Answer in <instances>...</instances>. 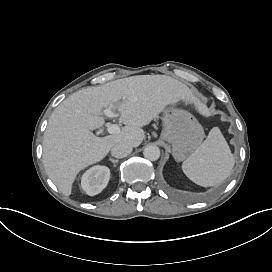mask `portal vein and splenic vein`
<instances>
[{
    "label": "portal vein and splenic vein",
    "mask_w": 272,
    "mask_h": 272,
    "mask_svg": "<svg viewBox=\"0 0 272 272\" xmlns=\"http://www.w3.org/2000/svg\"><path fill=\"white\" fill-rule=\"evenodd\" d=\"M103 113L109 118H115V117L119 116L118 113H114V112L110 111L109 109L103 110ZM119 131H120V128L115 124H111L108 127V132H110V133H118Z\"/></svg>",
    "instance_id": "1"
}]
</instances>
